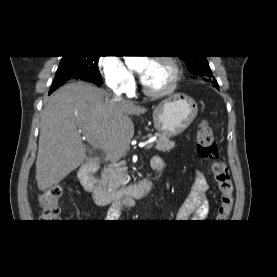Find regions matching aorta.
Wrapping results in <instances>:
<instances>
[{
	"label": "aorta",
	"instance_id": "1",
	"mask_svg": "<svg viewBox=\"0 0 277 277\" xmlns=\"http://www.w3.org/2000/svg\"><path fill=\"white\" fill-rule=\"evenodd\" d=\"M141 56H125V62L129 67L137 66L141 61Z\"/></svg>",
	"mask_w": 277,
	"mask_h": 277
}]
</instances>
